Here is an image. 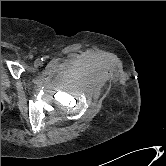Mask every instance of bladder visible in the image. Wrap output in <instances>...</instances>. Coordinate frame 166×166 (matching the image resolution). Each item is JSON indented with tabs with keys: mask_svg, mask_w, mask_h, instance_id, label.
<instances>
[{
	"mask_svg": "<svg viewBox=\"0 0 166 166\" xmlns=\"http://www.w3.org/2000/svg\"><path fill=\"white\" fill-rule=\"evenodd\" d=\"M11 85H12V81L8 73L4 69V64L1 59V91L10 89Z\"/></svg>",
	"mask_w": 166,
	"mask_h": 166,
	"instance_id": "1",
	"label": "bladder"
}]
</instances>
